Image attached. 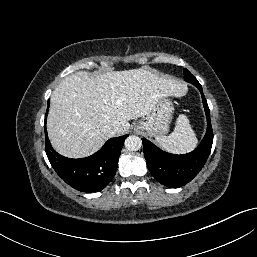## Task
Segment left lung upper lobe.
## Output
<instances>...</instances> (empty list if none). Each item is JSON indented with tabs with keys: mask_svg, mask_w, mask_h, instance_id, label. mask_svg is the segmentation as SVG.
<instances>
[{
	"mask_svg": "<svg viewBox=\"0 0 257 257\" xmlns=\"http://www.w3.org/2000/svg\"><path fill=\"white\" fill-rule=\"evenodd\" d=\"M184 79L185 81L192 83L194 85L199 83L197 79L187 69L184 70Z\"/></svg>",
	"mask_w": 257,
	"mask_h": 257,
	"instance_id": "obj_1",
	"label": "left lung upper lobe"
}]
</instances>
